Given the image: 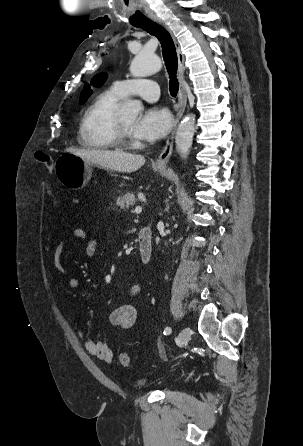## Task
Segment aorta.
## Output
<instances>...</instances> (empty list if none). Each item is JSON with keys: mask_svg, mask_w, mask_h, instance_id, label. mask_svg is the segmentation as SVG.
<instances>
[{"mask_svg": "<svg viewBox=\"0 0 303 446\" xmlns=\"http://www.w3.org/2000/svg\"><path fill=\"white\" fill-rule=\"evenodd\" d=\"M160 59L150 53L141 51L135 56L130 65V73L134 77H145L158 72L161 69ZM142 106L137 101H127L121 109V114L127 118H136ZM195 132V116L187 115L178 125L175 144L177 151L182 157H186L192 146L193 136Z\"/></svg>", "mask_w": 303, "mask_h": 446, "instance_id": "obj_1", "label": "aorta"}]
</instances>
